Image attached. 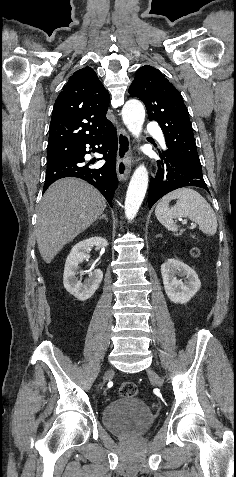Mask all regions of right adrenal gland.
Segmentation results:
<instances>
[{
    "instance_id": "obj_1",
    "label": "right adrenal gland",
    "mask_w": 236,
    "mask_h": 477,
    "mask_svg": "<svg viewBox=\"0 0 236 477\" xmlns=\"http://www.w3.org/2000/svg\"><path fill=\"white\" fill-rule=\"evenodd\" d=\"M105 219L108 222V218L106 217V214H103L101 217H99V220Z\"/></svg>"
}]
</instances>
